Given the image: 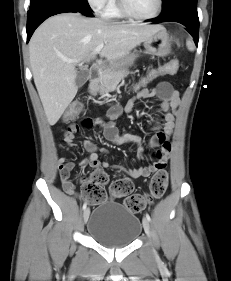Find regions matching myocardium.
I'll use <instances>...</instances> for the list:
<instances>
[{
  "label": "myocardium",
  "instance_id": "obj_1",
  "mask_svg": "<svg viewBox=\"0 0 231 281\" xmlns=\"http://www.w3.org/2000/svg\"><path fill=\"white\" fill-rule=\"evenodd\" d=\"M118 8L121 14L129 19L139 21V22H146L151 21L157 18L163 9V0H157V8L155 12L149 16H138L134 14L127 6L125 0H117Z\"/></svg>",
  "mask_w": 231,
  "mask_h": 281
}]
</instances>
